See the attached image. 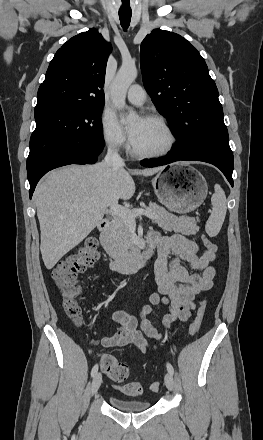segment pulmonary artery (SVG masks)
<instances>
[{"mask_svg":"<svg viewBox=\"0 0 263 440\" xmlns=\"http://www.w3.org/2000/svg\"><path fill=\"white\" fill-rule=\"evenodd\" d=\"M127 99L134 105H142L146 100V92L140 85H132L127 92Z\"/></svg>","mask_w":263,"mask_h":440,"instance_id":"pulmonary-artery-1","label":"pulmonary artery"}]
</instances>
